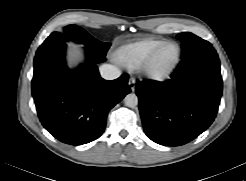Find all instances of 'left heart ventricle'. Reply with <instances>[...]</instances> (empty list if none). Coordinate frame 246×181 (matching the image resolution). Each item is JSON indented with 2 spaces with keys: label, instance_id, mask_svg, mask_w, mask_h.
I'll return each mask as SVG.
<instances>
[{
  "label": "left heart ventricle",
  "instance_id": "left-heart-ventricle-1",
  "mask_svg": "<svg viewBox=\"0 0 246 181\" xmlns=\"http://www.w3.org/2000/svg\"><path fill=\"white\" fill-rule=\"evenodd\" d=\"M176 48L174 46L168 47L166 50L162 52L157 63L156 68L159 70L167 69L176 57Z\"/></svg>",
  "mask_w": 246,
  "mask_h": 181
}]
</instances>
